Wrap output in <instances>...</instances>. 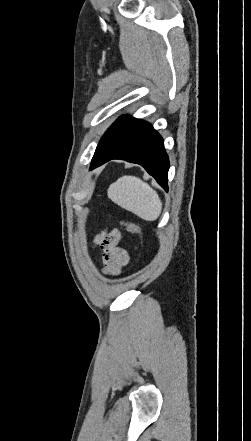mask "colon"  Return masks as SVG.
<instances>
[{
  "label": "colon",
  "instance_id": "obj_1",
  "mask_svg": "<svg viewBox=\"0 0 251 441\" xmlns=\"http://www.w3.org/2000/svg\"><path fill=\"white\" fill-rule=\"evenodd\" d=\"M122 224L126 228V230L130 234L134 235L137 238L138 242L142 245L143 237L140 227L134 222H130V221H123Z\"/></svg>",
  "mask_w": 251,
  "mask_h": 441
}]
</instances>
